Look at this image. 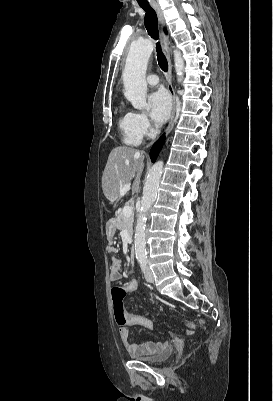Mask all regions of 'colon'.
<instances>
[{"label": "colon", "instance_id": "1", "mask_svg": "<svg viewBox=\"0 0 273 401\" xmlns=\"http://www.w3.org/2000/svg\"><path fill=\"white\" fill-rule=\"evenodd\" d=\"M126 290L131 292V291H136V290H141L143 288V285L141 283H129L126 285ZM124 287L122 286H116L115 291L113 292L114 299H113V315H114V320L115 323L118 326H124L126 324V314L124 311L123 307V297L126 293ZM204 325H208V322H204Z\"/></svg>", "mask_w": 273, "mask_h": 401}]
</instances>
